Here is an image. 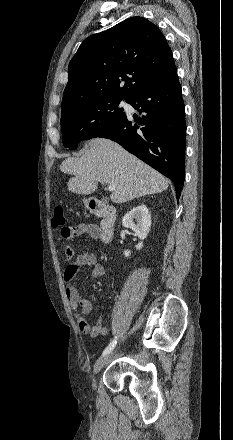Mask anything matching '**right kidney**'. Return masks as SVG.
I'll return each instance as SVG.
<instances>
[{
	"mask_svg": "<svg viewBox=\"0 0 233 440\" xmlns=\"http://www.w3.org/2000/svg\"><path fill=\"white\" fill-rule=\"evenodd\" d=\"M136 220L137 224L134 223ZM122 225L126 228L132 229L135 236L141 241L136 245V249L140 250L143 247V240L147 237L151 227V215L148 208L144 205H138L129 211L122 220ZM131 252L124 251L125 257H129Z\"/></svg>",
	"mask_w": 233,
	"mask_h": 440,
	"instance_id": "right-kidney-1",
	"label": "right kidney"
}]
</instances>
